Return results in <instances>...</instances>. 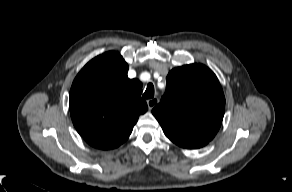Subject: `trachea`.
Listing matches in <instances>:
<instances>
[{"label": "trachea", "mask_w": 292, "mask_h": 192, "mask_svg": "<svg viewBox=\"0 0 292 192\" xmlns=\"http://www.w3.org/2000/svg\"><path fill=\"white\" fill-rule=\"evenodd\" d=\"M143 97L146 98V99H150V98H153L154 97V86L152 83H149L147 85V88L143 94Z\"/></svg>", "instance_id": "trachea-1"}]
</instances>
